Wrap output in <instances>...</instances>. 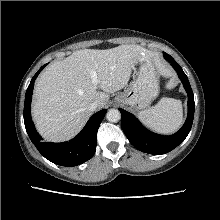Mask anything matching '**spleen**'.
Listing matches in <instances>:
<instances>
[{"mask_svg":"<svg viewBox=\"0 0 220 220\" xmlns=\"http://www.w3.org/2000/svg\"><path fill=\"white\" fill-rule=\"evenodd\" d=\"M139 119L147 127L160 132L172 133L183 122V111L180 100L161 98L155 105L138 113Z\"/></svg>","mask_w":220,"mask_h":220,"instance_id":"spleen-1","label":"spleen"}]
</instances>
